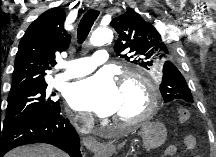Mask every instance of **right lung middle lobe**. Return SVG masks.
<instances>
[{
	"mask_svg": "<svg viewBox=\"0 0 216 157\" xmlns=\"http://www.w3.org/2000/svg\"><path fill=\"white\" fill-rule=\"evenodd\" d=\"M47 85L10 92L3 127L37 114L52 113L60 103L46 94ZM55 94L53 93L52 96ZM1 126V119H0Z\"/></svg>",
	"mask_w": 216,
	"mask_h": 157,
	"instance_id": "dd1d6c3e",
	"label": "right lung middle lobe"
}]
</instances>
